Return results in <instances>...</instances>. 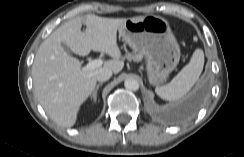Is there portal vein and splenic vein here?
<instances>
[{
    "mask_svg": "<svg viewBox=\"0 0 244 157\" xmlns=\"http://www.w3.org/2000/svg\"><path fill=\"white\" fill-rule=\"evenodd\" d=\"M102 64H103V61L101 59H94V60L90 61L87 65H85L83 67V69L85 72H87V71L101 67Z\"/></svg>",
    "mask_w": 244,
    "mask_h": 157,
    "instance_id": "18ae733b",
    "label": "portal vein and splenic vein"
}]
</instances>
